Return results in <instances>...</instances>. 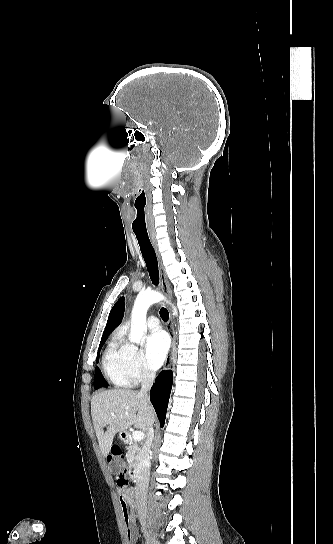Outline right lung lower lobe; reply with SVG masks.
<instances>
[{
    "mask_svg": "<svg viewBox=\"0 0 333 544\" xmlns=\"http://www.w3.org/2000/svg\"><path fill=\"white\" fill-rule=\"evenodd\" d=\"M173 383L171 371H162L156 378L150 392V400L154 406L161 426L164 425L165 416Z\"/></svg>",
    "mask_w": 333,
    "mask_h": 544,
    "instance_id": "obj_1",
    "label": "right lung lower lobe"
}]
</instances>
